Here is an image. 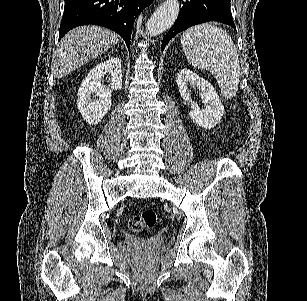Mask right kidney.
<instances>
[{"label": "right kidney", "instance_id": "1", "mask_svg": "<svg viewBox=\"0 0 307 301\" xmlns=\"http://www.w3.org/2000/svg\"><path fill=\"white\" fill-rule=\"evenodd\" d=\"M106 74V76H105ZM108 84H103V78ZM122 88L121 58L110 56L98 62L78 88L77 106L88 124H98L111 108L113 90ZM98 96V98H93Z\"/></svg>", "mask_w": 307, "mask_h": 301}]
</instances>
